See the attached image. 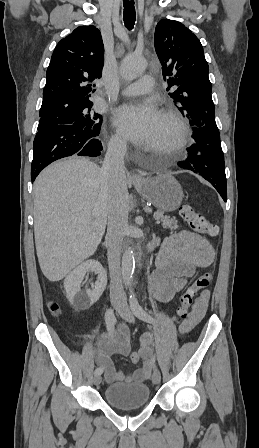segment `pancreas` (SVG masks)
<instances>
[{"label":"pancreas","mask_w":259,"mask_h":448,"mask_svg":"<svg viewBox=\"0 0 259 448\" xmlns=\"http://www.w3.org/2000/svg\"><path fill=\"white\" fill-rule=\"evenodd\" d=\"M161 222L163 228H170V230H177V220L176 218H170V216H164V212H154V220Z\"/></svg>","instance_id":"1"}]
</instances>
